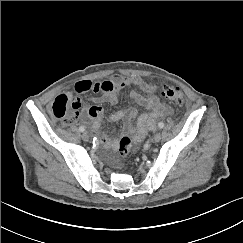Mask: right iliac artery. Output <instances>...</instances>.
Masks as SVG:
<instances>
[{
  "label": "right iliac artery",
  "instance_id": "right-iliac-artery-1",
  "mask_svg": "<svg viewBox=\"0 0 243 243\" xmlns=\"http://www.w3.org/2000/svg\"><path fill=\"white\" fill-rule=\"evenodd\" d=\"M79 130H80L81 132L85 131L84 126H80V127H79Z\"/></svg>",
  "mask_w": 243,
  "mask_h": 243
}]
</instances>
